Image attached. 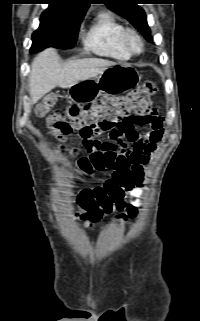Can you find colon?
I'll use <instances>...</instances> for the list:
<instances>
[{
    "label": "colon",
    "instance_id": "colon-1",
    "mask_svg": "<svg viewBox=\"0 0 200 321\" xmlns=\"http://www.w3.org/2000/svg\"><path fill=\"white\" fill-rule=\"evenodd\" d=\"M156 92L153 82H146L127 95L113 97L101 96L94 101L73 104L64 111L50 113L56 104V97L48 95L36 106L35 113L39 117L46 116L51 136L63 144L71 133L80 131L81 134L95 128H110L118 122L132 116L144 115L152 111V98ZM82 173H90L93 169L102 170L113 168V177L103 186L84 189L78 195V217L87 226L99 221L104 214L110 213L113 208L123 206L125 192L137 183L129 165L123 161L104 157L93 153L82 156L77 162Z\"/></svg>",
    "mask_w": 200,
    "mask_h": 321
}]
</instances>
